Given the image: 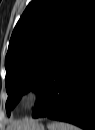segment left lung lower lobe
<instances>
[{"label": "left lung lower lobe", "instance_id": "1", "mask_svg": "<svg viewBox=\"0 0 95 130\" xmlns=\"http://www.w3.org/2000/svg\"><path fill=\"white\" fill-rule=\"evenodd\" d=\"M95 129V14L84 22L32 114Z\"/></svg>", "mask_w": 95, "mask_h": 130}]
</instances>
